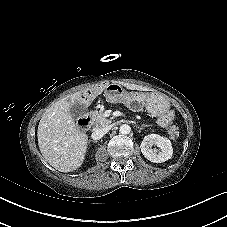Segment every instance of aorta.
<instances>
[{
  "label": "aorta",
  "mask_w": 227,
  "mask_h": 227,
  "mask_svg": "<svg viewBox=\"0 0 227 227\" xmlns=\"http://www.w3.org/2000/svg\"><path fill=\"white\" fill-rule=\"evenodd\" d=\"M119 132L124 135L129 134L131 132V127L127 124H123L119 128Z\"/></svg>",
  "instance_id": "aorta-1"
}]
</instances>
